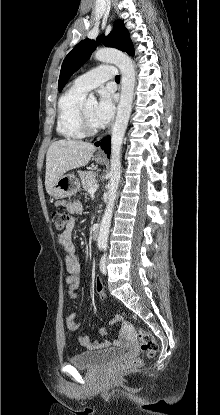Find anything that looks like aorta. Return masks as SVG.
Segmentation results:
<instances>
[{"mask_svg":"<svg viewBox=\"0 0 220 415\" xmlns=\"http://www.w3.org/2000/svg\"><path fill=\"white\" fill-rule=\"evenodd\" d=\"M96 60L115 64L121 72V95L117 108L116 120L111 134L110 180L107 185L108 200L100 224L98 244L106 245L116 199V192L121 178V149L125 131L132 110L136 72L132 60L121 51L112 48L98 49L94 53ZM88 102H96L93 93Z\"/></svg>","mask_w":220,"mask_h":415,"instance_id":"1","label":"aorta"}]
</instances>
